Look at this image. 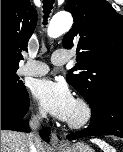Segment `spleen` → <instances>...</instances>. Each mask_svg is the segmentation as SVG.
Here are the masks:
<instances>
[{"instance_id": "3e777b00", "label": "spleen", "mask_w": 123, "mask_h": 152, "mask_svg": "<svg viewBox=\"0 0 123 152\" xmlns=\"http://www.w3.org/2000/svg\"><path fill=\"white\" fill-rule=\"evenodd\" d=\"M93 142L96 143L103 150V152H116V150L105 141L94 139Z\"/></svg>"}]
</instances>
